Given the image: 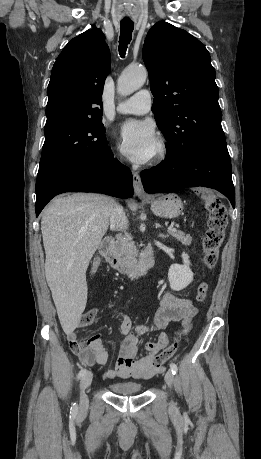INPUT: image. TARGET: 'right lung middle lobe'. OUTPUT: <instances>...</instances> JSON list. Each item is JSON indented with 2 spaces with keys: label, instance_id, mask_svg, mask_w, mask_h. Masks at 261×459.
I'll use <instances>...</instances> for the list:
<instances>
[{
  "label": "right lung middle lobe",
  "instance_id": "right-lung-middle-lobe-1",
  "mask_svg": "<svg viewBox=\"0 0 261 459\" xmlns=\"http://www.w3.org/2000/svg\"><path fill=\"white\" fill-rule=\"evenodd\" d=\"M104 133L101 120L46 129L36 183L72 164L106 161L110 149Z\"/></svg>",
  "mask_w": 261,
  "mask_h": 459
}]
</instances>
